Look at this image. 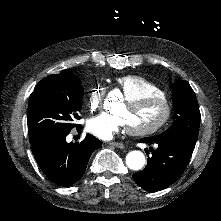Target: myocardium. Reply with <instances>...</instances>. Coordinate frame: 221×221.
<instances>
[{
  "mask_svg": "<svg viewBox=\"0 0 221 221\" xmlns=\"http://www.w3.org/2000/svg\"><path fill=\"white\" fill-rule=\"evenodd\" d=\"M155 108L156 115L153 120L134 124L140 113L144 110ZM128 110L132 113V124L127 131L131 135H143L150 131L154 132L165 127L171 119L172 110L168 101L161 95H156L145 100H140L129 105Z\"/></svg>",
  "mask_w": 221,
  "mask_h": 221,
  "instance_id": "1",
  "label": "myocardium"
}]
</instances>
